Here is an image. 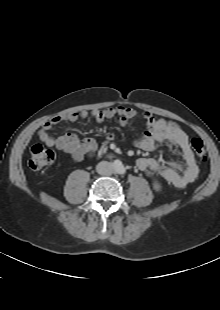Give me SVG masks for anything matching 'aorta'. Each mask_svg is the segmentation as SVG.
<instances>
[{"instance_id":"aorta-1","label":"aorta","mask_w":220,"mask_h":310,"mask_svg":"<svg viewBox=\"0 0 220 310\" xmlns=\"http://www.w3.org/2000/svg\"><path fill=\"white\" fill-rule=\"evenodd\" d=\"M122 167V164L121 162H118L116 165H115V169L118 170Z\"/></svg>"}]
</instances>
